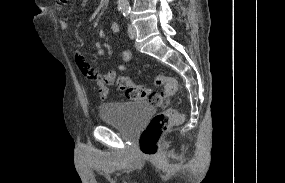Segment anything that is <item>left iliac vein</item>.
I'll list each match as a JSON object with an SVG mask.
<instances>
[{
    "label": "left iliac vein",
    "mask_w": 285,
    "mask_h": 183,
    "mask_svg": "<svg viewBox=\"0 0 285 183\" xmlns=\"http://www.w3.org/2000/svg\"><path fill=\"white\" fill-rule=\"evenodd\" d=\"M128 35H129L130 39L136 38V29L132 25L128 26Z\"/></svg>",
    "instance_id": "obj_1"
}]
</instances>
